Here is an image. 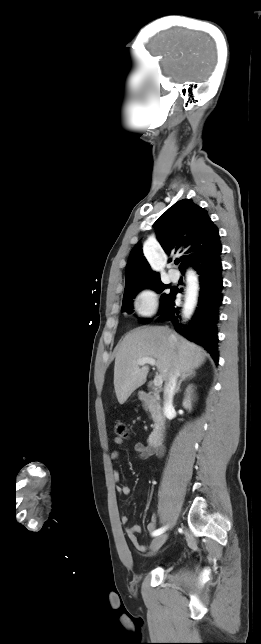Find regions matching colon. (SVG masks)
I'll return each mask as SVG.
<instances>
[{
	"mask_svg": "<svg viewBox=\"0 0 261 644\" xmlns=\"http://www.w3.org/2000/svg\"><path fill=\"white\" fill-rule=\"evenodd\" d=\"M115 434L118 438L124 439L128 436L127 424L123 421H118L115 425Z\"/></svg>",
	"mask_w": 261,
	"mask_h": 644,
	"instance_id": "obj_1",
	"label": "colon"
}]
</instances>
